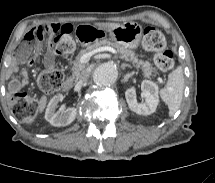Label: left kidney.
Returning <instances> with one entry per match:
<instances>
[{
    "label": "left kidney",
    "instance_id": "obj_1",
    "mask_svg": "<svg viewBox=\"0 0 215 183\" xmlns=\"http://www.w3.org/2000/svg\"><path fill=\"white\" fill-rule=\"evenodd\" d=\"M142 94L145 98L144 103H138L136 99V88L130 87L125 92V98L129 109L139 115H150L156 111L159 103L158 86L149 80L141 83Z\"/></svg>",
    "mask_w": 215,
    "mask_h": 183
}]
</instances>
